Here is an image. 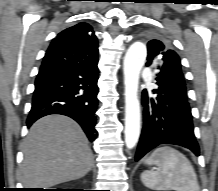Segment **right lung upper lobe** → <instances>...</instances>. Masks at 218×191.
Instances as JSON below:
<instances>
[{
    "label": "right lung upper lobe",
    "instance_id": "cb5924a9",
    "mask_svg": "<svg viewBox=\"0 0 218 191\" xmlns=\"http://www.w3.org/2000/svg\"><path fill=\"white\" fill-rule=\"evenodd\" d=\"M56 38L65 39L82 45L97 44V38L92 27L87 23H79L67 28L58 34Z\"/></svg>",
    "mask_w": 218,
    "mask_h": 191
}]
</instances>
